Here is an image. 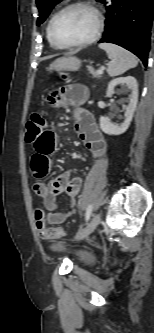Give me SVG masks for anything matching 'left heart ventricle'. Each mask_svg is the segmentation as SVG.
Segmentation results:
<instances>
[{"label": "left heart ventricle", "mask_w": 154, "mask_h": 333, "mask_svg": "<svg viewBox=\"0 0 154 333\" xmlns=\"http://www.w3.org/2000/svg\"><path fill=\"white\" fill-rule=\"evenodd\" d=\"M95 29V18L85 8H72L61 14L54 24V34L62 44H72L89 38Z\"/></svg>", "instance_id": "b2bd125f"}]
</instances>
